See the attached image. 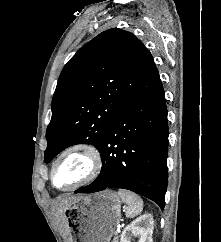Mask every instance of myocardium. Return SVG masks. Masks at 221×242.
<instances>
[{
  "label": "myocardium",
  "instance_id": "f54148a6",
  "mask_svg": "<svg viewBox=\"0 0 221 242\" xmlns=\"http://www.w3.org/2000/svg\"><path fill=\"white\" fill-rule=\"evenodd\" d=\"M72 152H82L87 156L90 163L89 171L82 179H80L78 182L74 183L73 185L65 188L57 187L54 183V173H55L56 167L67 154ZM102 164H103L102 155L99 149L95 145L88 142L72 143L67 147H65L54 159L50 169V183L55 189L60 191H71V190L77 189L96 179V177L99 175L102 169Z\"/></svg>",
  "mask_w": 221,
  "mask_h": 242
}]
</instances>
